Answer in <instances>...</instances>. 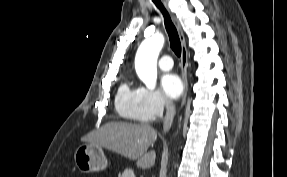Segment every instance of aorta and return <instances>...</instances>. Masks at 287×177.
<instances>
[{
  "label": "aorta",
  "instance_id": "762f6f07",
  "mask_svg": "<svg viewBox=\"0 0 287 177\" xmlns=\"http://www.w3.org/2000/svg\"><path fill=\"white\" fill-rule=\"evenodd\" d=\"M164 45V36L160 33L144 40L138 48L135 69L138 77L149 89H154L157 80V58Z\"/></svg>",
  "mask_w": 287,
  "mask_h": 177
}]
</instances>
